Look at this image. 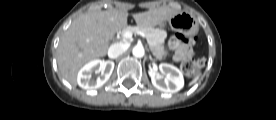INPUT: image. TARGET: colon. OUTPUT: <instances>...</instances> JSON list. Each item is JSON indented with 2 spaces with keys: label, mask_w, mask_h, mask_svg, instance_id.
Returning <instances> with one entry per match:
<instances>
[{
  "label": "colon",
  "mask_w": 276,
  "mask_h": 120,
  "mask_svg": "<svg viewBox=\"0 0 276 120\" xmlns=\"http://www.w3.org/2000/svg\"><path fill=\"white\" fill-rule=\"evenodd\" d=\"M188 42V38L182 34H174L169 39V47L177 54ZM180 60L181 71L188 77H194L204 65V59L193 58L191 55H183Z\"/></svg>",
  "instance_id": "obj_1"
}]
</instances>
